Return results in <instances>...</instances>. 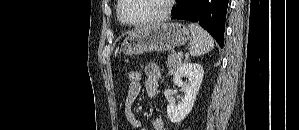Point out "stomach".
<instances>
[{
	"label": "stomach",
	"mask_w": 299,
	"mask_h": 130,
	"mask_svg": "<svg viewBox=\"0 0 299 130\" xmlns=\"http://www.w3.org/2000/svg\"><path fill=\"white\" fill-rule=\"evenodd\" d=\"M190 39L188 28L181 23H160L146 26L129 34L121 44L125 55L170 51Z\"/></svg>",
	"instance_id": "stomach-1"
}]
</instances>
